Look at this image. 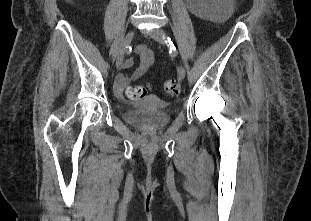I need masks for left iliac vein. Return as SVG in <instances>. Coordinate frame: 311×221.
Here are the masks:
<instances>
[{"label":"left iliac vein","mask_w":311,"mask_h":221,"mask_svg":"<svg viewBox=\"0 0 311 221\" xmlns=\"http://www.w3.org/2000/svg\"><path fill=\"white\" fill-rule=\"evenodd\" d=\"M150 37L152 39H154L155 41L161 43V44H164L165 43V33L162 29L160 28H157V29H154L152 30L150 33H149ZM177 74H178V78L180 80H183L185 78V69L183 66H178L177 68Z\"/></svg>","instance_id":"obj_1"}]
</instances>
